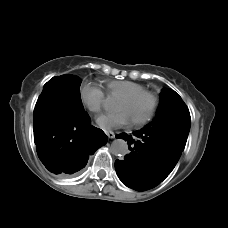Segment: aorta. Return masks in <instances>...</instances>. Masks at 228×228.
<instances>
[{
    "label": "aorta",
    "mask_w": 228,
    "mask_h": 228,
    "mask_svg": "<svg viewBox=\"0 0 228 228\" xmlns=\"http://www.w3.org/2000/svg\"><path fill=\"white\" fill-rule=\"evenodd\" d=\"M111 151L114 155L120 157H124L130 152L127 141L124 139H115L111 144Z\"/></svg>",
    "instance_id": "obj_1"
}]
</instances>
